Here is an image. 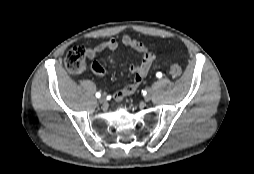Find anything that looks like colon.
<instances>
[{
    "label": "colon",
    "instance_id": "5ec220e1",
    "mask_svg": "<svg viewBox=\"0 0 254 174\" xmlns=\"http://www.w3.org/2000/svg\"><path fill=\"white\" fill-rule=\"evenodd\" d=\"M65 67L68 72L78 74L83 72L87 67V51L81 45L73 46L66 54L64 60ZM170 74L178 78L182 74V68L173 64L169 68Z\"/></svg>",
    "mask_w": 254,
    "mask_h": 174
}]
</instances>
